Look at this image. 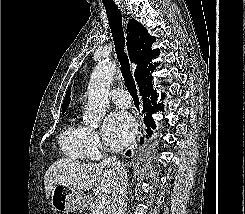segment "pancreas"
<instances>
[{"instance_id":"pancreas-1","label":"pancreas","mask_w":245,"mask_h":214,"mask_svg":"<svg viewBox=\"0 0 245 214\" xmlns=\"http://www.w3.org/2000/svg\"><path fill=\"white\" fill-rule=\"evenodd\" d=\"M103 196L101 195H98L96 196L91 202H90V205H89V209H90V214H96V210H97V207L99 205V201L100 199L102 198ZM101 214H111V206L110 204L108 206H106Z\"/></svg>"}]
</instances>
